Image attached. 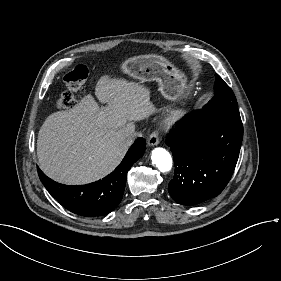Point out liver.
<instances>
[{"label":"liver","mask_w":281,"mask_h":281,"mask_svg":"<svg viewBox=\"0 0 281 281\" xmlns=\"http://www.w3.org/2000/svg\"><path fill=\"white\" fill-rule=\"evenodd\" d=\"M96 94L111 107L108 112L87 95L71 110L50 114L39 129L36 153L40 168L56 182L84 185L106 176L131 146L122 136L135 133L133 121L154 113L148 90L134 83L102 78Z\"/></svg>","instance_id":"obj_1"}]
</instances>
